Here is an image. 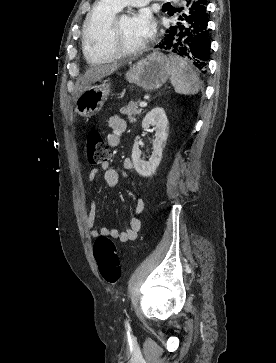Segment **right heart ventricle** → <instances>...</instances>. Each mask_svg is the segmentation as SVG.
<instances>
[{
	"label": "right heart ventricle",
	"instance_id": "obj_1",
	"mask_svg": "<svg viewBox=\"0 0 276 363\" xmlns=\"http://www.w3.org/2000/svg\"><path fill=\"white\" fill-rule=\"evenodd\" d=\"M120 7L111 0H100L87 16L83 27V52L93 64L112 62L117 57L108 48V30Z\"/></svg>",
	"mask_w": 276,
	"mask_h": 363
}]
</instances>
